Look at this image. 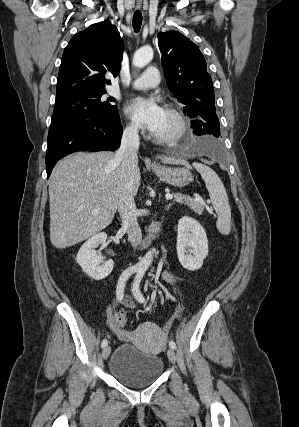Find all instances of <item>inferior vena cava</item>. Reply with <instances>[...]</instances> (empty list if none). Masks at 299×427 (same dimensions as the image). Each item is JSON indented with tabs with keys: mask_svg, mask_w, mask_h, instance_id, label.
<instances>
[{
	"mask_svg": "<svg viewBox=\"0 0 299 427\" xmlns=\"http://www.w3.org/2000/svg\"><path fill=\"white\" fill-rule=\"evenodd\" d=\"M139 135L135 127H127L122 135L121 144L115 153V160L121 162L123 185L118 202V212L122 225L127 230L132 247H137L142 241V232L137 222V209L132 194L133 176L138 164L137 151Z\"/></svg>",
	"mask_w": 299,
	"mask_h": 427,
	"instance_id": "obj_1",
	"label": "inferior vena cava"
}]
</instances>
